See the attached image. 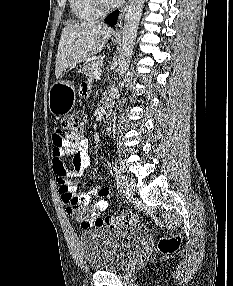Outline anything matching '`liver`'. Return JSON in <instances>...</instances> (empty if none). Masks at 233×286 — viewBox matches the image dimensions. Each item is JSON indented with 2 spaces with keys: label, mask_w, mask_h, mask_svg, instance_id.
<instances>
[{
  "label": "liver",
  "mask_w": 233,
  "mask_h": 286,
  "mask_svg": "<svg viewBox=\"0 0 233 286\" xmlns=\"http://www.w3.org/2000/svg\"><path fill=\"white\" fill-rule=\"evenodd\" d=\"M113 32L111 27L99 21H83L65 26L56 55V78L67 68L99 53Z\"/></svg>",
  "instance_id": "1"
}]
</instances>
